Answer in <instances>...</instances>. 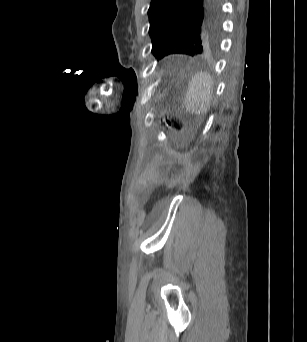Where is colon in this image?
I'll return each mask as SVG.
<instances>
[{
	"instance_id": "colon-1",
	"label": "colon",
	"mask_w": 307,
	"mask_h": 342,
	"mask_svg": "<svg viewBox=\"0 0 307 342\" xmlns=\"http://www.w3.org/2000/svg\"><path fill=\"white\" fill-rule=\"evenodd\" d=\"M159 93L160 94H169L170 88L169 87H160ZM156 123H157V125L162 126V127H167L174 132H181L184 130V123L174 116H167V115L159 116L156 119Z\"/></svg>"
}]
</instances>
